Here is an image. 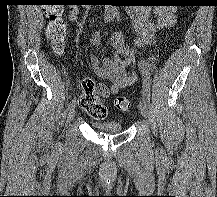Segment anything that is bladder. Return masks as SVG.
<instances>
[{
	"label": "bladder",
	"instance_id": "1",
	"mask_svg": "<svg viewBox=\"0 0 217 197\" xmlns=\"http://www.w3.org/2000/svg\"><path fill=\"white\" fill-rule=\"evenodd\" d=\"M93 127L109 134H117L123 130V126L119 121H95Z\"/></svg>",
	"mask_w": 217,
	"mask_h": 197
}]
</instances>
